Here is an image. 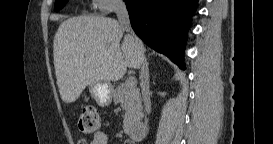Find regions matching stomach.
Here are the masks:
<instances>
[{
    "mask_svg": "<svg viewBox=\"0 0 273 144\" xmlns=\"http://www.w3.org/2000/svg\"><path fill=\"white\" fill-rule=\"evenodd\" d=\"M113 90V86L104 82L95 83L89 87L92 98L99 106L102 107H106L111 104Z\"/></svg>",
    "mask_w": 273,
    "mask_h": 144,
    "instance_id": "obj_1",
    "label": "stomach"
}]
</instances>
